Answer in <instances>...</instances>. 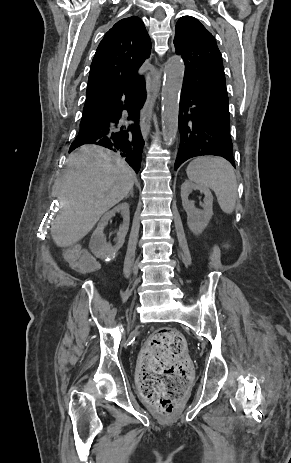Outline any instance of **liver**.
I'll return each mask as SVG.
<instances>
[{"mask_svg":"<svg viewBox=\"0 0 291 463\" xmlns=\"http://www.w3.org/2000/svg\"><path fill=\"white\" fill-rule=\"evenodd\" d=\"M133 184V171L118 154L97 145L72 153L56 186L60 213L51 228L55 244L69 247L79 242Z\"/></svg>","mask_w":291,"mask_h":463,"instance_id":"obj_1","label":"liver"}]
</instances>
